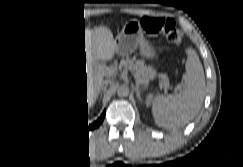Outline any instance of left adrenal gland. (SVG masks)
Masks as SVG:
<instances>
[{
    "label": "left adrenal gland",
    "instance_id": "a2214340",
    "mask_svg": "<svg viewBox=\"0 0 243 167\" xmlns=\"http://www.w3.org/2000/svg\"><path fill=\"white\" fill-rule=\"evenodd\" d=\"M135 91H136V96H137L138 100L141 101V98H140L141 89L138 86H136Z\"/></svg>",
    "mask_w": 243,
    "mask_h": 167
}]
</instances>
